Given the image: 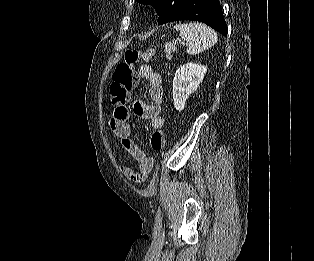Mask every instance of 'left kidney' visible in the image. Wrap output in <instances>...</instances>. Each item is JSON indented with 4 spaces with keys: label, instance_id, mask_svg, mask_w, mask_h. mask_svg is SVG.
I'll list each match as a JSON object with an SVG mask.
<instances>
[{
    "label": "left kidney",
    "instance_id": "5707ae66",
    "mask_svg": "<svg viewBox=\"0 0 314 261\" xmlns=\"http://www.w3.org/2000/svg\"><path fill=\"white\" fill-rule=\"evenodd\" d=\"M206 71V66L192 62L182 65L176 70L172 83V95L177 111L180 112L184 109L187 98L197 90Z\"/></svg>",
    "mask_w": 314,
    "mask_h": 261
}]
</instances>
